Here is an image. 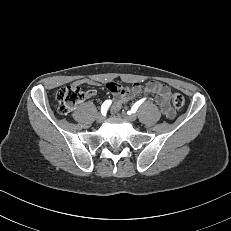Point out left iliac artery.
I'll list each match as a JSON object with an SVG mask.
<instances>
[{"label":"left iliac artery","instance_id":"44dca946","mask_svg":"<svg viewBox=\"0 0 231 231\" xmlns=\"http://www.w3.org/2000/svg\"><path fill=\"white\" fill-rule=\"evenodd\" d=\"M145 98L137 101L131 108L132 113L136 112L138 107L144 102Z\"/></svg>","mask_w":231,"mask_h":231}]
</instances>
